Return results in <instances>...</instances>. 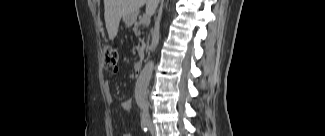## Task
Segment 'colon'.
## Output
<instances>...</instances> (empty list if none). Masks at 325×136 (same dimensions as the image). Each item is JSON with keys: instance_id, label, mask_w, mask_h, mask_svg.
Masks as SVG:
<instances>
[{"instance_id": "5ec220e1", "label": "colon", "mask_w": 325, "mask_h": 136, "mask_svg": "<svg viewBox=\"0 0 325 136\" xmlns=\"http://www.w3.org/2000/svg\"><path fill=\"white\" fill-rule=\"evenodd\" d=\"M104 68L109 72H116L118 68V52L111 45H106L103 48Z\"/></svg>"}]
</instances>
